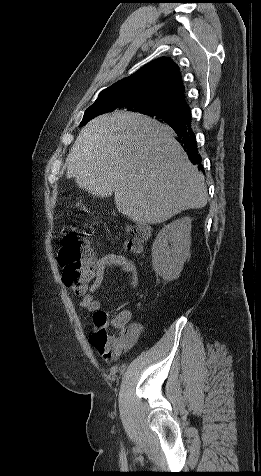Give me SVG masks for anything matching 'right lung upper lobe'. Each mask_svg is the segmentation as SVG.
Wrapping results in <instances>:
<instances>
[{
    "label": "right lung upper lobe",
    "instance_id": "right-lung-upper-lobe-1",
    "mask_svg": "<svg viewBox=\"0 0 261 476\" xmlns=\"http://www.w3.org/2000/svg\"><path fill=\"white\" fill-rule=\"evenodd\" d=\"M184 92L177 64L170 58L161 57L106 88L98 99L119 94L122 109L146 102H158L187 112L189 108Z\"/></svg>",
    "mask_w": 261,
    "mask_h": 476
}]
</instances>
